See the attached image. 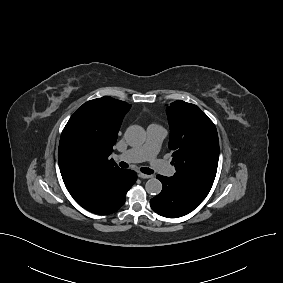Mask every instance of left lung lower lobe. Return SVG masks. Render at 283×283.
Instances as JSON below:
<instances>
[{
	"instance_id": "1",
	"label": "left lung lower lobe",
	"mask_w": 283,
	"mask_h": 283,
	"mask_svg": "<svg viewBox=\"0 0 283 283\" xmlns=\"http://www.w3.org/2000/svg\"><path fill=\"white\" fill-rule=\"evenodd\" d=\"M163 189L150 200L151 208L161 216L177 218L193 211L203 200L173 177L158 175Z\"/></svg>"
}]
</instances>
